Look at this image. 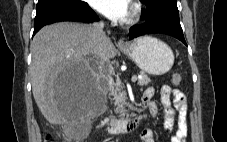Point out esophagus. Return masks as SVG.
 <instances>
[{
    "mask_svg": "<svg viewBox=\"0 0 227 142\" xmlns=\"http://www.w3.org/2000/svg\"><path fill=\"white\" fill-rule=\"evenodd\" d=\"M117 46L119 48H124V47H127L128 44L123 39H119L118 42H117Z\"/></svg>",
    "mask_w": 227,
    "mask_h": 142,
    "instance_id": "obj_1",
    "label": "esophagus"
}]
</instances>
